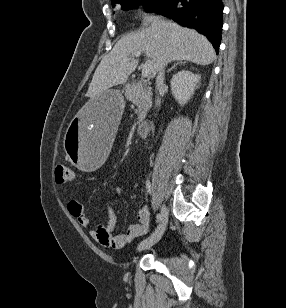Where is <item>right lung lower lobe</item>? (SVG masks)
<instances>
[{
	"mask_svg": "<svg viewBox=\"0 0 286 308\" xmlns=\"http://www.w3.org/2000/svg\"><path fill=\"white\" fill-rule=\"evenodd\" d=\"M156 12L200 31L218 53L223 25L221 0H167Z\"/></svg>",
	"mask_w": 286,
	"mask_h": 308,
	"instance_id": "right-lung-lower-lobe-1",
	"label": "right lung lower lobe"
}]
</instances>
